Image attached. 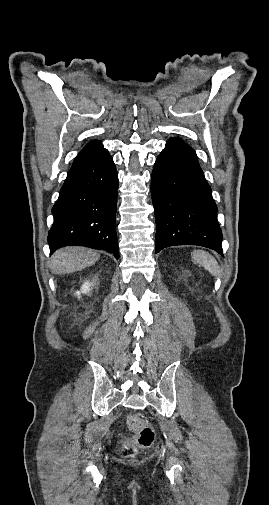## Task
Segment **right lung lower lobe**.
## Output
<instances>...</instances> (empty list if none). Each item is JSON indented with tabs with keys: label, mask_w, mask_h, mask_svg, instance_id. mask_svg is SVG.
I'll return each mask as SVG.
<instances>
[{
	"label": "right lung lower lobe",
	"mask_w": 269,
	"mask_h": 505,
	"mask_svg": "<svg viewBox=\"0 0 269 505\" xmlns=\"http://www.w3.org/2000/svg\"><path fill=\"white\" fill-rule=\"evenodd\" d=\"M117 190L116 167L103 145L80 152L52 208L50 252L77 245L108 251L118 259Z\"/></svg>",
	"instance_id": "98d812e1"
}]
</instances>
